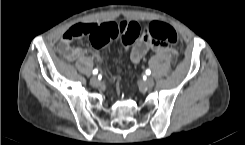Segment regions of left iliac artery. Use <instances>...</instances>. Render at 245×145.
Instances as JSON below:
<instances>
[{
	"label": "left iliac artery",
	"mask_w": 245,
	"mask_h": 145,
	"mask_svg": "<svg viewBox=\"0 0 245 145\" xmlns=\"http://www.w3.org/2000/svg\"><path fill=\"white\" fill-rule=\"evenodd\" d=\"M146 74L147 75H150L151 74V71L149 69L146 70Z\"/></svg>",
	"instance_id": "1"
}]
</instances>
